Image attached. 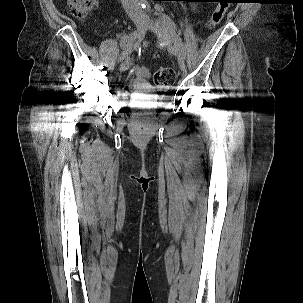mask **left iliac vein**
Segmentation results:
<instances>
[{
  "label": "left iliac vein",
  "mask_w": 303,
  "mask_h": 303,
  "mask_svg": "<svg viewBox=\"0 0 303 303\" xmlns=\"http://www.w3.org/2000/svg\"><path fill=\"white\" fill-rule=\"evenodd\" d=\"M147 23H148V28L152 32L168 40L172 44L170 52L179 58L183 44L181 38L176 33L175 29H173L164 21L161 22L153 19H148ZM180 68L182 71L185 70L184 63L180 62Z\"/></svg>",
  "instance_id": "obj_1"
}]
</instances>
